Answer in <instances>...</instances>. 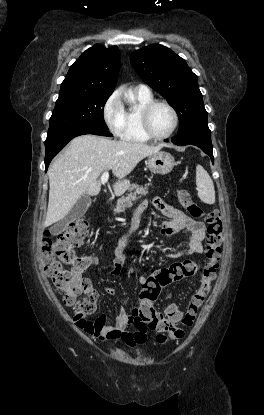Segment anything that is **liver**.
<instances>
[{
  "label": "liver",
  "instance_id": "1",
  "mask_svg": "<svg viewBox=\"0 0 264 415\" xmlns=\"http://www.w3.org/2000/svg\"><path fill=\"white\" fill-rule=\"evenodd\" d=\"M165 144L111 140L95 135L74 138L48 170L49 202L44 226L48 227L68 215L85 194L95 196L101 187L98 178L112 170L117 181L114 194L121 196L130 187L126 176L145 157L159 152Z\"/></svg>",
  "mask_w": 264,
  "mask_h": 415
}]
</instances>
